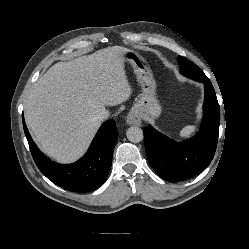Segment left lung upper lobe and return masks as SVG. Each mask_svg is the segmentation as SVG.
<instances>
[{"instance_id": "left-lung-upper-lobe-1", "label": "left lung upper lobe", "mask_w": 249, "mask_h": 249, "mask_svg": "<svg viewBox=\"0 0 249 249\" xmlns=\"http://www.w3.org/2000/svg\"><path fill=\"white\" fill-rule=\"evenodd\" d=\"M178 63L180 66V72L187 77H192L193 75L203 73V71L199 69L193 62L187 60L183 56L178 57Z\"/></svg>"}]
</instances>
